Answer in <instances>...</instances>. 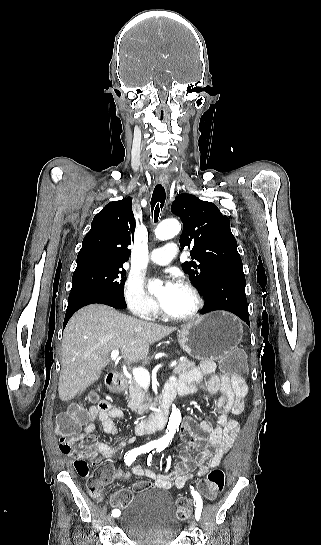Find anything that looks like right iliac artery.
I'll list each match as a JSON object with an SVG mask.
<instances>
[{"mask_svg":"<svg viewBox=\"0 0 321 545\" xmlns=\"http://www.w3.org/2000/svg\"><path fill=\"white\" fill-rule=\"evenodd\" d=\"M156 447V444L154 442H150L146 445H143V446H140V447H137V448H134L132 450H130L129 452H127L124 456V459H125V463L126 465H131L136 457L142 453H147L149 451H151L153 448ZM114 517H118L120 512L118 510H113L112 513H111Z\"/></svg>","mask_w":321,"mask_h":545,"instance_id":"1","label":"right iliac artery"}]
</instances>
